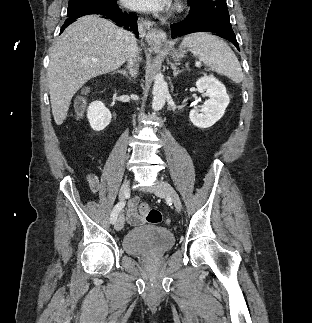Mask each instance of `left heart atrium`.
I'll return each instance as SVG.
<instances>
[{"label":"left heart atrium","instance_id":"obj_1","mask_svg":"<svg viewBox=\"0 0 312 323\" xmlns=\"http://www.w3.org/2000/svg\"><path fill=\"white\" fill-rule=\"evenodd\" d=\"M136 12H168L173 7L171 0H125Z\"/></svg>","mask_w":312,"mask_h":323}]
</instances>
